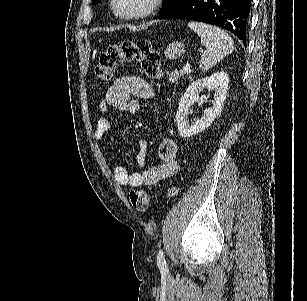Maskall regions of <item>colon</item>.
Listing matches in <instances>:
<instances>
[{"mask_svg":"<svg viewBox=\"0 0 307 301\" xmlns=\"http://www.w3.org/2000/svg\"><path fill=\"white\" fill-rule=\"evenodd\" d=\"M131 61L140 62L147 76L153 79L161 77L160 56L148 40H125L109 45L100 55L95 73L99 79L107 81L116 67ZM179 191L178 186H172L166 190V195L174 197ZM129 198L132 206L138 211H144L149 206V195L143 189L130 191Z\"/></svg>","mask_w":307,"mask_h":301,"instance_id":"colon-1","label":"colon"}]
</instances>
